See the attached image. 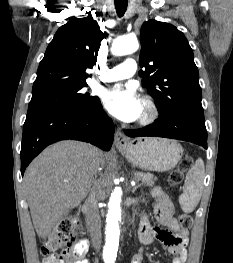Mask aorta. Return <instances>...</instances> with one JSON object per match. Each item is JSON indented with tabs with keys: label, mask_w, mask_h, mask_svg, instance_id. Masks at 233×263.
Here are the masks:
<instances>
[{
	"label": "aorta",
	"mask_w": 233,
	"mask_h": 263,
	"mask_svg": "<svg viewBox=\"0 0 233 263\" xmlns=\"http://www.w3.org/2000/svg\"><path fill=\"white\" fill-rule=\"evenodd\" d=\"M139 48V43L135 37L124 36L113 41L111 52L115 56H122L133 53ZM109 202L108 214L106 218V243L104 247V257L114 260L117 255L119 236H120V220H121V189L116 187L108 188Z\"/></svg>",
	"instance_id": "aorta-1"
}]
</instances>
